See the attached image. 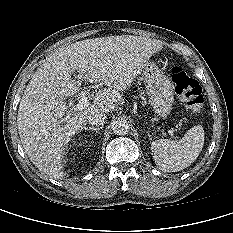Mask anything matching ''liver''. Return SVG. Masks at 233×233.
<instances>
[{"label": "liver", "mask_w": 233, "mask_h": 233, "mask_svg": "<svg viewBox=\"0 0 233 233\" xmlns=\"http://www.w3.org/2000/svg\"><path fill=\"white\" fill-rule=\"evenodd\" d=\"M159 41L133 35L78 41L54 52L32 76L19 104L17 126L30 161L51 178L63 179L65 147L85 129L93 111L109 113L126 90L159 51ZM90 83L106 85L89 107L66 111V99L80 91L71 74Z\"/></svg>", "instance_id": "6515ba94"}]
</instances>
